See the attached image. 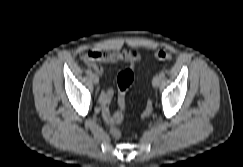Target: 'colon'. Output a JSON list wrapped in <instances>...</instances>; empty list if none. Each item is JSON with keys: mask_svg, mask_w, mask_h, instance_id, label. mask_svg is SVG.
<instances>
[{"mask_svg": "<svg viewBox=\"0 0 243 167\" xmlns=\"http://www.w3.org/2000/svg\"><path fill=\"white\" fill-rule=\"evenodd\" d=\"M154 58L159 61H170L172 59V54L165 50H159L154 53ZM134 77H135L134 71L131 68H125L118 74L117 85H118V90H119V102H120L122 110L124 109V106H125V92L128 89V87L133 83ZM152 110H153L152 103L148 102L146 109L142 114V117L143 118L149 117L152 113ZM123 118H124V114H123V112H121L120 121ZM119 122H117V123H119ZM117 123H113L111 125V134L114 137H118L120 134L118 129L115 126Z\"/></svg>", "mask_w": 243, "mask_h": 167, "instance_id": "obj_1", "label": "colon"}]
</instances>
